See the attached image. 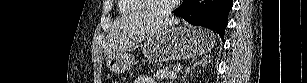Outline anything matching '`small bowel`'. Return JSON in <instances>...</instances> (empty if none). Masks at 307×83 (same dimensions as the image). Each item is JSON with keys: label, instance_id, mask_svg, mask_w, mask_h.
<instances>
[{"label": "small bowel", "instance_id": "obj_1", "mask_svg": "<svg viewBox=\"0 0 307 83\" xmlns=\"http://www.w3.org/2000/svg\"><path fill=\"white\" fill-rule=\"evenodd\" d=\"M137 83H156V82L151 77L143 75L138 78Z\"/></svg>", "mask_w": 307, "mask_h": 83}]
</instances>
